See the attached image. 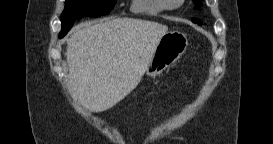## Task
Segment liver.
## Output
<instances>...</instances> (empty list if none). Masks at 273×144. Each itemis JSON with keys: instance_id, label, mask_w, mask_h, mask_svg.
Wrapping results in <instances>:
<instances>
[{"instance_id": "6515ba94", "label": "liver", "mask_w": 273, "mask_h": 144, "mask_svg": "<svg viewBox=\"0 0 273 144\" xmlns=\"http://www.w3.org/2000/svg\"><path fill=\"white\" fill-rule=\"evenodd\" d=\"M168 27L117 18L85 23L67 41L70 84L91 112L112 108L140 83Z\"/></svg>"}]
</instances>
